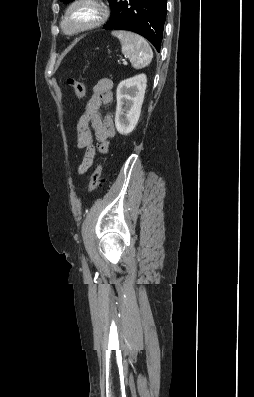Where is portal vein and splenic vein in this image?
I'll use <instances>...</instances> for the list:
<instances>
[{
	"instance_id": "portal-vein-and-splenic-vein-1",
	"label": "portal vein and splenic vein",
	"mask_w": 254,
	"mask_h": 397,
	"mask_svg": "<svg viewBox=\"0 0 254 397\" xmlns=\"http://www.w3.org/2000/svg\"><path fill=\"white\" fill-rule=\"evenodd\" d=\"M123 64H125V65H126V64H127V62H126L125 60H123Z\"/></svg>"
}]
</instances>
